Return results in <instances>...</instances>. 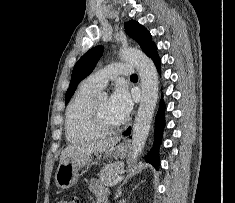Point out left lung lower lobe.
Returning a JSON list of instances; mask_svg holds the SVG:
<instances>
[{
  "mask_svg": "<svg viewBox=\"0 0 235 203\" xmlns=\"http://www.w3.org/2000/svg\"><path fill=\"white\" fill-rule=\"evenodd\" d=\"M145 54L148 55L154 61L158 71H160V58L157 54L156 45L153 44ZM164 110H165V104H164L163 100H161L159 111L157 113L156 120H155L154 145H153L151 151L146 156V161L151 163L156 169H158V166L160 164L158 150H159V145L162 142V132H163V129L165 126ZM130 133H131V127H129L124 132V135H130Z\"/></svg>",
  "mask_w": 235,
  "mask_h": 203,
  "instance_id": "0a47b994",
  "label": "left lung lower lobe"
}]
</instances>
